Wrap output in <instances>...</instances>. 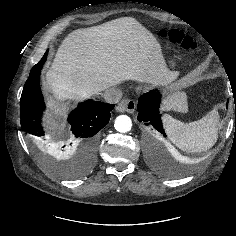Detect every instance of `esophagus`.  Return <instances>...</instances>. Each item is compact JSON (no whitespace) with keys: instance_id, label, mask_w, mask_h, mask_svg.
<instances>
[{"instance_id":"obj_1","label":"esophagus","mask_w":236,"mask_h":236,"mask_svg":"<svg viewBox=\"0 0 236 236\" xmlns=\"http://www.w3.org/2000/svg\"><path fill=\"white\" fill-rule=\"evenodd\" d=\"M136 109V103L133 100L123 99L119 102L116 110L120 113L128 112L133 113Z\"/></svg>"}]
</instances>
